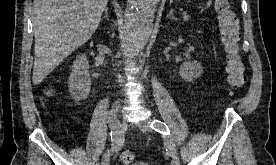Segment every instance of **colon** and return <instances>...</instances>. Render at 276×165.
Returning <instances> with one entry per match:
<instances>
[{"mask_svg": "<svg viewBox=\"0 0 276 165\" xmlns=\"http://www.w3.org/2000/svg\"><path fill=\"white\" fill-rule=\"evenodd\" d=\"M220 41L225 54V69L228 83L232 90L241 88L245 82V66L239 48L238 18L227 0H216ZM135 154L131 150H125L120 155L124 165L134 161Z\"/></svg>", "mask_w": 276, "mask_h": 165, "instance_id": "colon-1", "label": "colon"}]
</instances>
